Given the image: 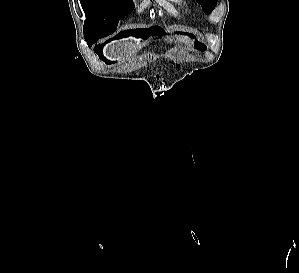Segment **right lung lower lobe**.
<instances>
[{
	"mask_svg": "<svg viewBox=\"0 0 299 273\" xmlns=\"http://www.w3.org/2000/svg\"><path fill=\"white\" fill-rule=\"evenodd\" d=\"M99 37H93L90 39H85L87 41V44L89 47H92L93 44H95L98 41Z\"/></svg>",
	"mask_w": 299,
	"mask_h": 273,
	"instance_id": "obj_1",
	"label": "right lung lower lobe"
}]
</instances>
